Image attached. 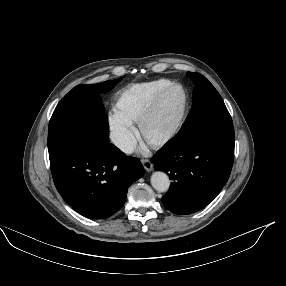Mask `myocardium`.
<instances>
[{
  "label": "myocardium",
  "mask_w": 286,
  "mask_h": 286,
  "mask_svg": "<svg viewBox=\"0 0 286 286\" xmlns=\"http://www.w3.org/2000/svg\"><path fill=\"white\" fill-rule=\"evenodd\" d=\"M175 88H180L183 92V106H182V110H181V113H180L177 121L175 122L173 127L163 136H161L157 139H153V140L149 139L145 134L146 125L148 124L150 119L153 117V115H154L159 103L163 99V97L168 92H170L171 90H173ZM188 113H189V95H188L186 88L182 84L172 83V84L168 85L167 87H165L164 89H162L151 100V102L148 104L145 111L141 115V117L138 121V128H139L140 135L148 144H150L154 148L165 147L168 144H170L177 137V135L180 133V131L182 130V128H183V126L187 120Z\"/></svg>",
  "instance_id": "obj_1"
}]
</instances>
